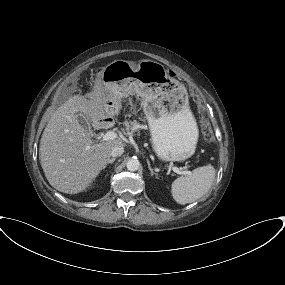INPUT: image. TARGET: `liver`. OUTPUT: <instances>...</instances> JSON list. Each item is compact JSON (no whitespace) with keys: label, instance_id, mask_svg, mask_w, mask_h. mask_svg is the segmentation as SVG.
I'll return each instance as SVG.
<instances>
[{"label":"liver","instance_id":"1","mask_svg":"<svg viewBox=\"0 0 285 285\" xmlns=\"http://www.w3.org/2000/svg\"><path fill=\"white\" fill-rule=\"evenodd\" d=\"M103 69L89 93L70 96L55 111L41 137L39 158L45 176L52 187L66 194L86 191L107 166L112 149L123 146L121 138L93 144L89 129L76 116L78 112L85 115L98 128L111 113L107 100L115 101L121 109L124 96L104 85Z\"/></svg>","mask_w":285,"mask_h":285}]
</instances>
